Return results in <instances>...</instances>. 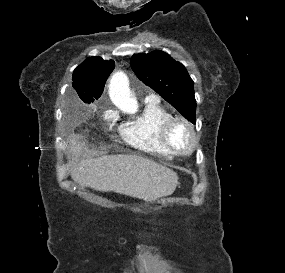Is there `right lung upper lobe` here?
<instances>
[{"instance_id":"cb5924a9","label":"right lung upper lobe","mask_w":285,"mask_h":273,"mask_svg":"<svg viewBox=\"0 0 285 273\" xmlns=\"http://www.w3.org/2000/svg\"><path fill=\"white\" fill-rule=\"evenodd\" d=\"M114 67L113 60L106 61L99 56L90 57L79 65L74 70L72 78V85L79 97L86 103L98 99Z\"/></svg>"}]
</instances>
